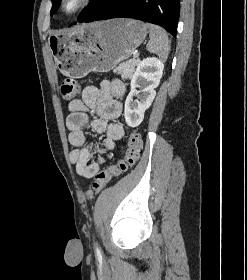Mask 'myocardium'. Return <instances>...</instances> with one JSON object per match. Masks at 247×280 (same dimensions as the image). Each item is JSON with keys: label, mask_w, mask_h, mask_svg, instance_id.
Wrapping results in <instances>:
<instances>
[{"label": "myocardium", "mask_w": 247, "mask_h": 280, "mask_svg": "<svg viewBox=\"0 0 247 280\" xmlns=\"http://www.w3.org/2000/svg\"><path fill=\"white\" fill-rule=\"evenodd\" d=\"M92 0H61L60 10L62 14L66 17H73L79 12L84 10ZM74 2L75 5L72 8H69V4Z\"/></svg>", "instance_id": "1"}]
</instances>
